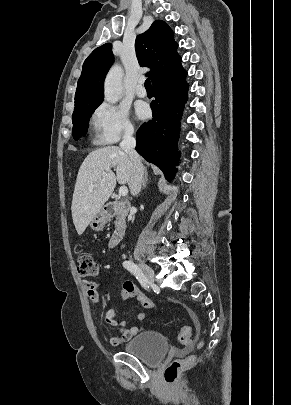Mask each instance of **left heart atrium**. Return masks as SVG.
<instances>
[{"label": "left heart atrium", "mask_w": 291, "mask_h": 405, "mask_svg": "<svg viewBox=\"0 0 291 405\" xmlns=\"http://www.w3.org/2000/svg\"><path fill=\"white\" fill-rule=\"evenodd\" d=\"M136 112H137V115L140 118H145L148 115L149 110H148V107L146 105H140V106L137 107Z\"/></svg>", "instance_id": "39dd6f15"}]
</instances>
